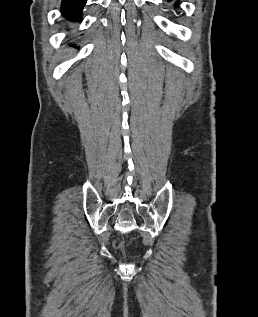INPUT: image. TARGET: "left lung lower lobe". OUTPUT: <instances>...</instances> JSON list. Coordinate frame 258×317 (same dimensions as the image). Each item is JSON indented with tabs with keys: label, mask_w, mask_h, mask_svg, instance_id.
Returning <instances> with one entry per match:
<instances>
[{
	"label": "left lung lower lobe",
	"mask_w": 258,
	"mask_h": 317,
	"mask_svg": "<svg viewBox=\"0 0 258 317\" xmlns=\"http://www.w3.org/2000/svg\"><path fill=\"white\" fill-rule=\"evenodd\" d=\"M167 1H173V0H167ZM179 1L180 0H176V2L174 3V7H177L179 5Z\"/></svg>",
	"instance_id": "0a47b994"
}]
</instances>
